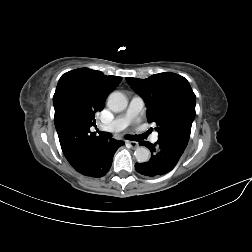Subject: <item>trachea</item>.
Masks as SVG:
<instances>
[{"label":"trachea","mask_w":252,"mask_h":252,"mask_svg":"<svg viewBox=\"0 0 252 252\" xmlns=\"http://www.w3.org/2000/svg\"><path fill=\"white\" fill-rule=\"evenodd\" d=\"M98 131V130H97ZM151 131L148 130L146 132V134H143V135H127L126 138L128 140H132V141H141L143 139H145L147 137V135L150 133ZM99 135L100 136H103V137H107V138H111L112 137V134L111 133H108V132H101V131H98Z\"/></svg>","instance_id":"trachea-1"}]
</instances>
